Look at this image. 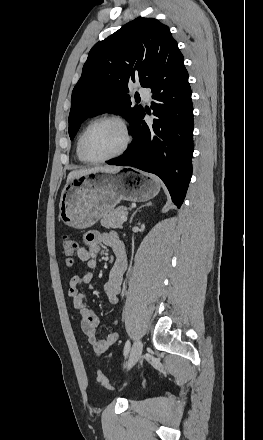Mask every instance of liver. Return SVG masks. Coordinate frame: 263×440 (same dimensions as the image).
<instances>
[{"mask_svg":"<svg viewBox=\"0 0 263 440\" xmlns=\"http://www.w3.org/2000/svg\"><path fill=\"white\" fill-rule=\"evenodd\" d=\"M119 169L120 168L116 167V166L105 165V166H96V167H92V168H88V169L74 170L68 174L67 182L69 180H71L72 178L79 177L82 175H87L90 173H98V172L116 173L117 171H119Z\"/></svg>","mask_w":263,"mask_h":440,"instance_id":"6515ba94","label":"liver"}]
</instances>
